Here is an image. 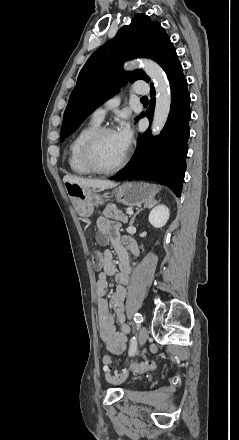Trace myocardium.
<instances>
[{
  "label": "myocardium",
  "instance_id": "obj_1",
  "mask_svg": "<svg viewBox=\"0 0 239 440\" xmlns=\"http://www.w3.org/2000/svg\"><path fill=\"white\" fill-rule=\"evenodd\" d=\"M115 132V129L111 126L98 127L89 137L85 140L82 147V159L86 167L93 173L109 175L120 171L126 164L130 156L129 149H126L125 153L119 160L116 166L112 168H103L98 165L94 158V149L98 141L107 133Z\"/></svg>",
  "mask_w": 239,
  "mask_h": 440
}]
</instances>
